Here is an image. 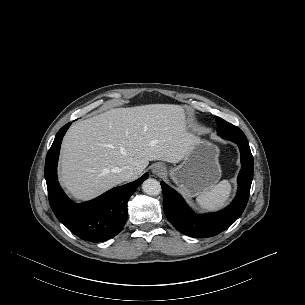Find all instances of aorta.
<instances>
[{"instance_id": "1", "label": "aorta", "mask_w": 305, "mask_h": 305, "mask_svg": "<svg viewBox=\"0 0 305 305\" xmlns=\"http://www.w3.org/2000/svg\"><path fill=\"white\" fill-rule=\"evenodd\" d=\"M142 190L151 196L158 195L162 191L160 183L153 178H149L142 183Z\"/></svg>"}]
</instances>
